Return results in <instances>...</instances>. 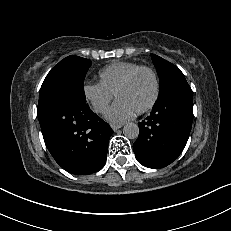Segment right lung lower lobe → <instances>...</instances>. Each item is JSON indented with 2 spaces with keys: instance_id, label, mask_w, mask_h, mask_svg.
Returning a JSON list of instances; mask_svg holds the SVG:
<instances>
[{
  "instance_id": "98d812e1",
  "label": "right lung lower lobe",
  "mask_w": 231,
  "mask_h": 231,
  "mask_svg": "<svg viewBox=\"0 0 231 231\" xmlns=\"http://www.w3.org/2000/svg\"><path fill=\"white\" fill-rule=\"evenodd\" d=\"M37 114L46 146L63 169L85 175L104 166L113 130L86 101L58 96L38 107Z\"/></svg>"
}]
</instances>
